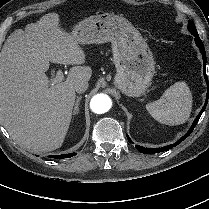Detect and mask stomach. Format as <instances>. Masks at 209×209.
Here are the masks:
<instances>
[{"instance_id":"1","label":"stomach","mask_w":209,"mask_h":209,"mask_svg":"<svg viewBox=\"0 0 209 209\" xmlns=\"http://www.w3.org/2000/svg\"><path fill=\"white\" fill-rule=\"evenodd\" d=\"M67 34L83 45L111 42L115 86L130 97L146 92L155 74V61L146 40L126 18L113 13L92 15Z\"/></svg>"}]
</instances>
